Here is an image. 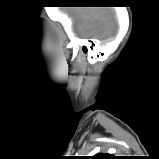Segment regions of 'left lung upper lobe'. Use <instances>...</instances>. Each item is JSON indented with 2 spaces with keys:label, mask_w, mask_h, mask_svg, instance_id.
I'll use <instances>...</instances> for the list:
<instances>
[{
  "label": "left lung upper lobe",
  "mask_w": 159,
  "mask_h": 159,
  "mask_svg": "<svg viewBox=\"0 0 159 159\" xmlns=\"http://www.w3.org/2000/svg\"><path fill=\"white\" fill-rule=\"evenodd\" d=\"M87 159H117L115 156L111 155V154H97L93 157H89Z\"/></svg>",
  "instance_id": "1"
}]
</instances>
